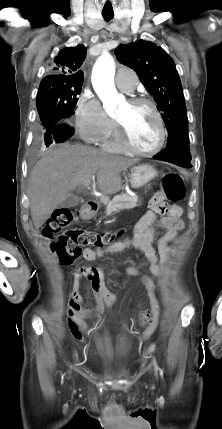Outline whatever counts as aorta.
I'll list each match as a JSON object with an SVG mask.
<instances>
[{"mask_svg": "<svg viewBox=\"0 0 222 429\" xmlns=\"http://www.w3.org/2000/svg\"><path fill=\"white\" fill-rule=\"evenodd\" d=\"M114 75V59L108 53L102 54L94 65L92 84L108 114L114 113L118 105L122 104L125 100L122 95L117 93L114 84Z\"/></svg>", "mask_w": 222, "mask_h": 429, "instance_id": "762f6f07", "label": "aorta"}]
</instances>
